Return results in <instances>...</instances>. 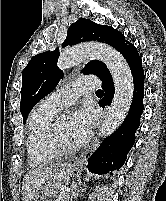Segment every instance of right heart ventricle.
<instances>
[{
    "instance_id": "obj_1",
    "label": "right heart ventricle",
    "mask_w": 166,
    "mask_h": 201,
    "mask_svg": "<svg viewBox=\"0 0 166 201\" xmlns=\"http://www.w3.org/2000/svg\"><path fill=\"white\" fill-rule=\"evenodd\" d=\"M55 113L56 111L40 105L29 117L26 147L32 167L48 164L58 157L47 142L48 127Z\"/></svg>"
}]
</instances>
